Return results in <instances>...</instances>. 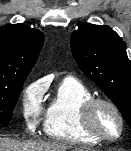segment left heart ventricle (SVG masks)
I'll return each mask as SVG.
<instances>
[{"label": "left heart ventricle", "instance_id": "b2bd125f", "mask_svg": "<svg viewBox=\"0 0 131 151\" xmlns=\"http://www.w3.org/2000/svg\"><path fill=\"white\" fill-rule=\"evenodd\" d=\"M96 128L105 136L114 137L119 133V121L111 109L101 106L95 114Z\"/></svg>", "mask_w": 131, "mask_h": 151}]
</instances>
